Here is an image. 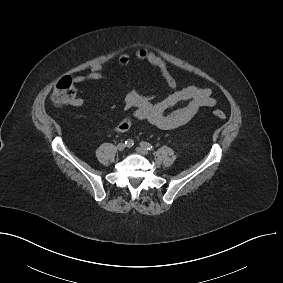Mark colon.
Returning a JSON list of instances; mask_svg holds the SVG:
<instances>
[{
    "label": "colon",
    "mask_w": 283,
    "mask_h": 283,
    "mask_svg": "<svg viewBox=\"0 0 283 283\" xmlns=\"http://www.w3.org/2000/svg\"><path fill=\"white\" fill-rule=\"evenodd\" d=\"M76 94L73 81L69 77L62 78L54 87L51 95L53 103L57 106H63L70 103ZM214 116L219 120H224L226 114L221 109L213 110Z\"/></svg>",
    "instance_id": "obj_1"
}]
</instances>
